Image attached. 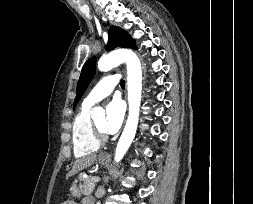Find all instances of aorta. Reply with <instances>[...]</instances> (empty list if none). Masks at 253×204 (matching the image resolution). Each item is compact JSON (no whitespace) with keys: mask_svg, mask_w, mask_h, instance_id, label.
I'll list each match as a JSON object with an SVG mask.
<instances>
[{"mask_svg":"<svg viewBox=\"0 0 253 204\" xmlns=\"http://www.w3.org/2000/svg\"><path fill=\"white\" fill-rule=\"evenodd\" d=\"M123 62L127 65L129 115L124 131L116 147V162H119L124 157L136 134L142 93L141 63L137 55L128 49L113 51L103 56L98 62V69L100 71H109ZM91 115L94 119L99 116L103 117L105 111L101 107H95Z\"/></svg>","mask_w":253,"mask_h":204,"instance_id":"obj_1","label":"aorta"}]
</instances>
